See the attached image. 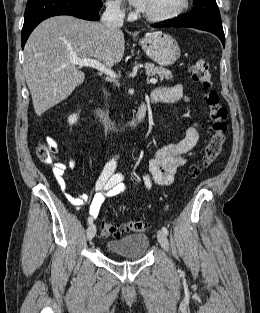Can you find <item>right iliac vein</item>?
Returning <instances> with one entry per match:
<instances>
[{"label":"right iliac vein","mask_w":260,"mask_h":313,"mask_svg":"<svg viewBox=\"0 0 260 313\" xmlns=\"http://www.w3.org/2000/svg\"><path fill=\"white\" fill-rule=\"evenodd\" d=\"M96 234V226L94 224H90L87 229V238L88 240H92Z\"/></svg>","instance_id":"right-iliac-vein-1"}]
</instances>
